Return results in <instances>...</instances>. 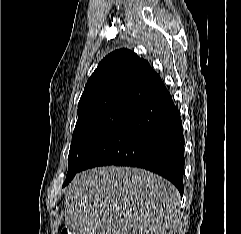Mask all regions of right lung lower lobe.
I'll use <instances>...</instances> for the list:
<instances>
[{
    "mask_svg": "<svg viewBox=\"0 0 241 234\" xmlns=\"http://www.w3.org/2000/svg\"><path fill=\"white\" fill-rule=\"evenodd\" d=\"M184 163L180 113L163 85L93 148L81 171L103 165L144 168L171 181L182 196Z\"/></svg>",
    "mask_w": 241,
    "mask_h": 234,
    "instance_id": "98d812e1",
    "label": "right lung lower lobe"
}]
</instances>
